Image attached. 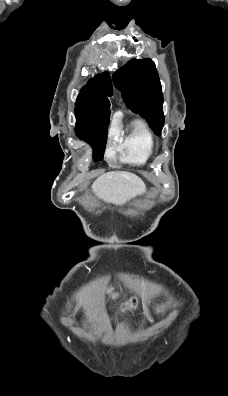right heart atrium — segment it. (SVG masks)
I'll use <instances>...</instances> for the list:
<instances>
[{
	"label": "right heart atrium",
	"instance_id": "d8ad5b80",
	"mask_svg": "<svg viewBox=\"0 0 228 396\" xmlns=\"http://www.w3.org/2000/svg\"><path fill=\"white\" fill-rule=\"evenodd\" d=\"M117 137H118V130L113 125V126H111V128L109 130V139H110V141H114ZM112 153H113V147H112V145H109V147L107 148V155L111 156Z\"/></svg>",
	"mask_w": 228,
	"mask_h": 396
}]
</instances>
